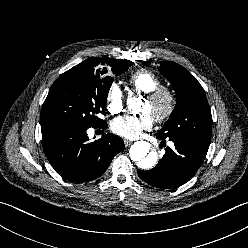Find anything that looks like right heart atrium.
Listing matches in <instances>:
<instances>
[{"label":"right heart atrium","instance_id":"1","mask_svg":"<svg viewBox=\"0 0 248 248\" xmlns=\"http://www.w3.org/2000/svg\"><path fill=\"white\" fill-rule=\"evenodd\" d=\"M108 110L112 114L120 113L124 107V96L118 84L112 83L106 94Z\"/></svg>","mask_w":248,"mask_h":248}]
</instances>
